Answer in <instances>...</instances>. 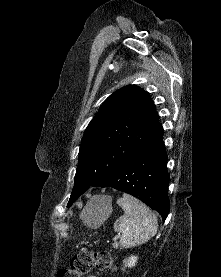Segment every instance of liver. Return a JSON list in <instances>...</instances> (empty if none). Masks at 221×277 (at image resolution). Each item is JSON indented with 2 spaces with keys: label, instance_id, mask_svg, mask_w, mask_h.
I'll return each mask as SVG.
<instances>
[{
  "label": "liver",
  "instance_id": "6515ba94",
  "mask_svg": "<svg viewBox=\"0 0 221 277\" xmlns=\"http://www.w3.org/2000/svg\"><path fill=\"white\" fill-rule=\"evenodd\" d=\"M103 198H106V199H108L109 201L111 200L109 197H103Z\"/></svg>",
  "mask_w": 221,
  "mask_h": 277
}]
</instances>
